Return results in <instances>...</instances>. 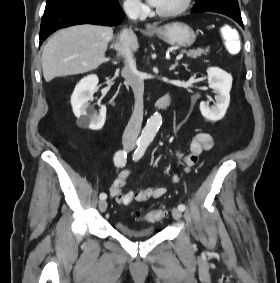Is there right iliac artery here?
Returning <instances> with one entry per match:
<instances>
[{
	"instance_id": "obj_1",
	"label": "right iliac artery",
	"mask_w": 280,
	"mask_h": 283,
	"mask_svg": "<svg viewBox=\"0 0 280 283\" xmlns=\"http://www.w3.org/2000/svg\"><path fill=\"white\" fill-rule=\"evenodd\" d=\"M128 150H119L114 155V164L117 167H123L126 164V158H127ZM100 200H105L107 198L106 193H101L99 196Z\"/></svg>"
}]
</instances>
